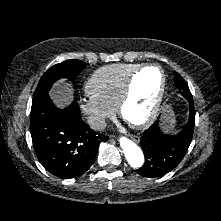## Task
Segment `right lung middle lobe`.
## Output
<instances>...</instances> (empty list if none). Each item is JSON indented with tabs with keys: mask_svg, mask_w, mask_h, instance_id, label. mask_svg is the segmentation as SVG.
I'll list each match as a JSON object with an SVG mask.
<instances>
[{
	"mask_svg": "<svg viewBox=\"0 0 221 221\" xmlns=\"http://www.w3.org/2000/svg\"><path fill=\"white\" fill-rule=\"evenodd\" d=\"M86 64L80 60H66L49 68L41 77L32 100V106L39 104L45 97L55 81L60 78L73 79L84 68Z\"/></svg>",
	"mask_w": 221,
	"mask_h": 221,
	"instance_id": "right-lung-middle-lobe-1",
	"label": "right lung middle lobe"
}]
</instances>
